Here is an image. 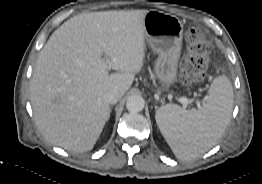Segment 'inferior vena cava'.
Instances as JSON below:
<instances>
[{
	"label": "inferior vena cava",
	"instance_id": "inferior-vena-cava-1",
	"mask_svg": "<svg viewBox=\"0 0 262 184\" xmlns=\"http://www.w3.org/2000/svg\"><path fill=\"white\" fill-rule=\"evenodd\" d=\"M120 97V93L117 90H110L106 93V101L109 104H115Z\"/></svg>",
	"mask_w": 262,
	"mask_h": 184
}]
</instances>
